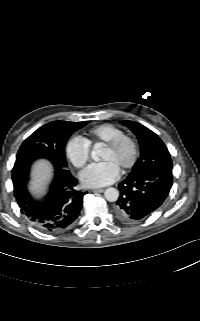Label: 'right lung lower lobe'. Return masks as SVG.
Wrapping results in <instances>:
<instances>
[{"mask_svg":"<svg viewBox=\"0 0 200 321\" xmlns=\"http://www.w3.org/2000/svg\"><path fill=\"white\" fill-rule=\"evenodd\" d=\"M33 159H20L12 169L14 195L21 212L40 230L60 232L77 219L87 192L76 189L77 179L69 170L52 162L55 176L48 194L42 200H34L27 190L29 170Z\"/></svg>","mask_w":200,"mask_h":321,"instance_id":"right-lung-lower-lobe-1","label":"right lung lower lobe"}]
</instances>
